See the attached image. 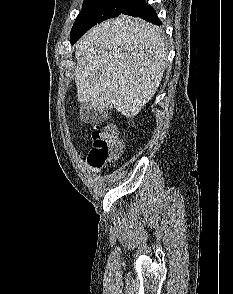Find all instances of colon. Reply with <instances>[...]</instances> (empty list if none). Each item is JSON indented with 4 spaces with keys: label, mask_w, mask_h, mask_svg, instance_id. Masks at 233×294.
I'll use <instances>...</instances> for the list:
<instances>
[{
    "label": "colon",
    "mask_w": 233,
    "mask_h": 294,
    "mask_svg": "<svg viewBox=\"0 0 233 294\" xmlns=\"http://www.w3.org/2000/svg\"><path fill=\"white\" fill-rule=\"evenodd\" d=\"M93 146L88 155L91 166L100 168L114 159L121 151L117 128L112 124L95 126L92 131Z\"/></svg>",
    "instance_id": "obj_1"
}]
</instances>
